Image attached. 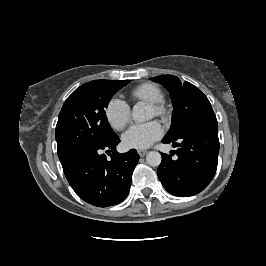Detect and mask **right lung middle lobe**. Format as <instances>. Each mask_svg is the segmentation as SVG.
<instances>
[{
  "instance_id": "obj_1",
  "label": "right lung middle lobe",
  "mask_w": 266,
  "mask_h": 266,
  "mask_svg": "<svg viewBox=\"0 0 266 266\" xmlns=\"http://www.w3.org/2000/svg\"><path fill=\"white\" fill-rule=\"evenodd\" d=\"M129 82L95 80L80 86L66 99L56 125L57 153L61 163L116 136L107 121L105 109L112 96Z\"/></svg>"
}]
</instances>
